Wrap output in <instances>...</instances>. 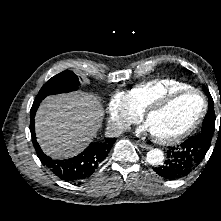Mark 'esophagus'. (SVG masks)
<instances>
[{
	"label": "esophagus",
	"mask_w": 221,
	"mask_h": 221,
	"mask_svg": "<svg viewBox=\"0 0 221 221\" xmlns=\"http://www.w3.org/2000/svg\"><path fill=\"white\" fill-rule=\"evenodd\" d=\"M136 144L141 147V148H145V149H149L150 146L147 145L146 143L142 142V141H136Z\"/></svg>",
	"instance_id": "1"
}]
</instances>
